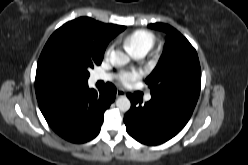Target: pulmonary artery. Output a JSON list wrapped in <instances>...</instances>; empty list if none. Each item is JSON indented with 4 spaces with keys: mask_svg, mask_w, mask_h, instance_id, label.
I'll use <instances>...</instances> for the list:
<instances>
[{
    "mask_svg": "<svg viewBox=\"0 0 248 165\" xmlns=\"http://www.w3.org/2000/svg\"><path fill=\"white\" fill-rule=\"evenodd\" d=\"M135 55H136V57L141 58V57H143V56L146 55V52L145 51H140V52L136 53ZM93 79L95 81H97V80H105V81H107V80H110L111 79V75L104 74V73H96L93 76ZM145 100L150 101L151 100V95H147L145 97Z\"/></svg>",
    "mask_w": 248,
    "mask_h": 165,
    "instance_id": "obj_1",
    "label": "pulmonary artery"
}]
</instances>
